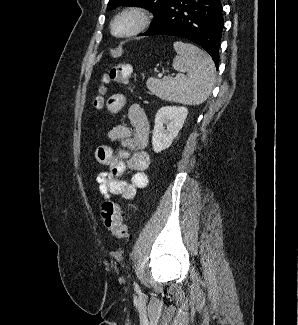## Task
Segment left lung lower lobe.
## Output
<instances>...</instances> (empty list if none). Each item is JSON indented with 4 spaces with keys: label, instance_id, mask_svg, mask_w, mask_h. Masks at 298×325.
Returning a JSON list of instances; mask_svg holds the SVG:
<instances>
[{
    "label": "left lung lower lobe",
    "instance_id": "obj_1",
    "mask_svg": "<svg viewBox=\"0 0 298 325\" xmlns=\"http://www.w3.org/2000/svg\"><path fill=\"white\" fill-rule=\"evenodd\" d=\"M223 24L220 0H170L141 35L189 39L206 50L218 67Z\"/></svg>",
    "mask_w": 298,
    "mask_h": 325
}]
</instances>
